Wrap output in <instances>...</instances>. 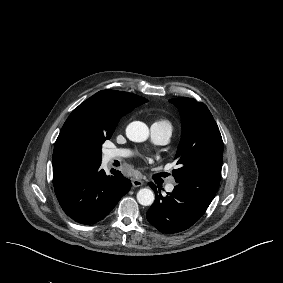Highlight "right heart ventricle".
Returning a JSON list of instances; mask_svg holds the SVG:
<instances>
[{
	"label": "right heart ventricle",
	"instance_id": "obj_1",
	"mask_svg": "<svg viewBox=\"0 0 283 283\" xmlns=\"http://www.w3.org/2000/svg\"><path fill=\"white\" fill-rule=\"evenodd\" d=\"M153 125L161 127V128H165V129L169 130L170 132H172V130H173L172 124L167 120H158V121L154 122Z\"/></svg>",
	"mask_w": 283,
	"mask_h": 283
}]
</instances>
